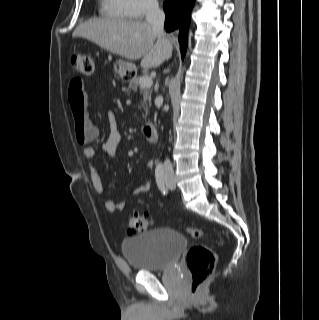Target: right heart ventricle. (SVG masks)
<instances>
[{
  "label": "right heart ventricle",
  "instance_id": "e07e8e85",
  "mask_svg": "<svg viewBox=\"0 0 319 320\" xmlns=\"http://www.w3.org/2000/svg\"><path fill=\"white\" fill-rule=\"evenodd\" d=\"M100 12L111 19H127L128 13L122 0H100Z\"/></svg>",
  "mask_w": 319,
  "mask_h": 320
}]
</instances>
